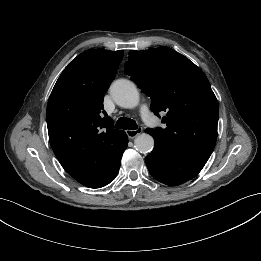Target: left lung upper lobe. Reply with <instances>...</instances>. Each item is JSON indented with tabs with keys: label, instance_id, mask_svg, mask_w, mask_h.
<instances>
[{
	"label": "left lung upper lobe",
	"instance_id": "left-lung-upper-lobe-1",
	"mask_svg": "<svg viewBox=\"0 0 261 261\" xmlns=\"http://www.w3.org/2000/svg\"><path fill=\"white\" fill-rule=\"evenodd\" d=\"M125 72L151 97V110L165 128L147 129L175 152L210 156L217 139L219 107L205 74L187 57L165 46L129 52Z\"/></svg>",
	"mask_w": 261,
	"mask_h": 261
}]
</instances>
